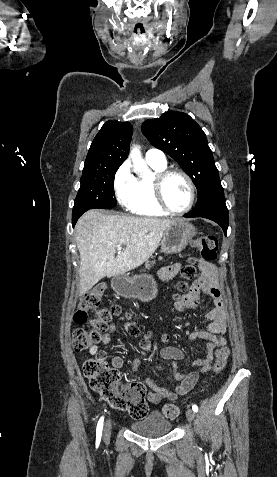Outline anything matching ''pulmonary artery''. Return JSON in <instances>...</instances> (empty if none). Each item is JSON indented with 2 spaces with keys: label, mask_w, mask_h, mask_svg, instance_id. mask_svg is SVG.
<instances>
[{
  "label": "pulmonary artery",
  "mask_w": 277,
  "mask_h": 477,
  "mask_svg": "<svg viewBox=\"0 0 277 477\" xmlns=\"http://www.w3.org/2000/svg\"><path fill=\"white\" fill-rule=\"evenodd\" d=\"M145 159L149 163H155L162 166L166 165L165 154L161 150L155 148L149 149L146 152Z\"/></svg>",
  "instance_id": "pulmonary-artery-1"
}]
</instances>
